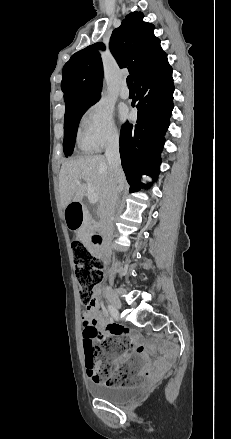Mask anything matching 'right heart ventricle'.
I'll return each mask as SVG.
<instances>
[{
    "instance_id": "e07e8e85",
    "label": "right heart ventricle",
    "mask_w": 231,
    "mask_h": 439,
    "mask_svg": "<svg viewBox=\"0 0 231 439\" xmlns=\"http://www.w3.org/2000/svg\"><path fill=\"white\" fill-rule=\"evenodd\" d=\"M81 145H82V147H83L85 150H90V148L87 147L82 141H81Z\"/></svg>"
}]
</instances>
